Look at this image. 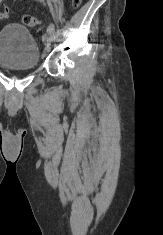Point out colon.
Instances as JSON below:
<instances>
[{"instance_id":"colon-1","label":"colon","mask_w":163,"mask_h":235,"mask_svg":"<svg viewBox=\"0 0 163 235\" xmlns=\"http://www.w3.org/2000/svg\"><path fill=\"white\" fill-rule=\"evenodd\" d=\"M72 6L77 8L81 5L82 0H71ZM9 16V10L8 9H4L3 11H0V19H6ZM22 22L24 25L28 26V27H36L40 24V21L30 15H23L22 17Z\"/></svg>"}]
</instances>
